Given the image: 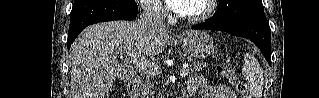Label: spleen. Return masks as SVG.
Wrapping results in <instances>:
<instances>
[{"label":"spleen","mask_w":319,"mask_h":98,"mask_svg":"<svg viewBox=\"0 0 319 98\" xmlns=\"http://www.w3.org/2000/svg\"><path fill=\"white\" fill-rule=\"evenodd\" d=\"M242 74L245 77L250 93L254 98H261L264 86L263 70L251 53H246Z\"/></svg>","instance_id":"3e777b00"}]
</instances>
